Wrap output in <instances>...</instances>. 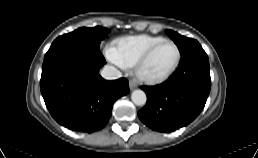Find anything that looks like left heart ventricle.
Here are the masks:
<instances>
[{"label":"left heart ventricle","mask_w":258,"mask_h":158,"mask_svg":"<svg viewBox=\"0 0 258 158\" xmlns=\"http://www.w3.org/2000/svg\"><path fill=\"white\" fill-rule=\"evenodd\" d=\"M176 49L171 43L160 45L147 61L144 70L146 73L157 76L166 72L176 60Z\"/></svg>","instance_id":"b2bd125f"}]
</instances>
